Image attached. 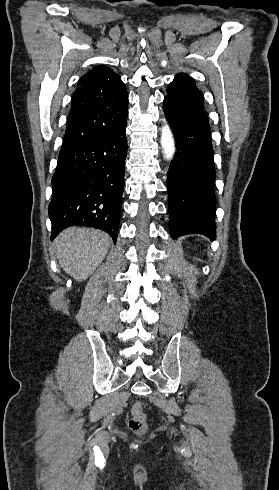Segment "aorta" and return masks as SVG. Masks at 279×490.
Returning a JSON list of instances; mask_svg holds the SVG:
<instances>
[{
  "label": "aorta",
  "instance_id": "obj_1",
  "mask_svg": "<svg viewBox=\"0 0 279 490\" xmlns=\"http://www.w3.org/2000/svg\"><path fill=\"white\" fill-rule=\"evenodd\" d=\"M160 143L164 158L171 160L175 155L176 147L173 133L167 123L162 127Z\"/></svg>",
  "mask_w": 279,
  "mask_h": 490
}]
</instances>
